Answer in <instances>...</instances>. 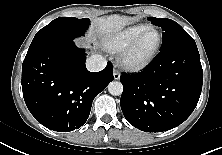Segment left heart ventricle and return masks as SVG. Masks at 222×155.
<instances>
[{
    "mask_svg": "<svg viewBox=\"0 0 222 155\" xmlns=\"http://www.w3.org/2000/svg\"><path fill=\"white\" fill-rule=\"evenodd\" d=\"M156 42H157V35L155 33L148 34L141 42L137 50L135 51L134 57L136 59H141L145 57L155 46Z\"/></svg>",
    "mask_w": 222,
    "mask_h": 155,
    "instance_id": "b2bd125f",
    "label": "left heart ventricle"
}]
</instances>
